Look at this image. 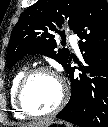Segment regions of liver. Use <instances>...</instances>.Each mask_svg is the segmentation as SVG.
I'll return each instance as SVG.
<instances>
[{"mask_svg":"<svg viewBox=\"0 0 108 127\" xmlns=\"http://www.w3.org/2000/svg\"><path fill=\"white\" fill-rule=\"evenodd\" d=\"M52 121H53L52 119H44V120H39V121L28 123V124H23L20 127H44Z\"/></svg>","mask_w":108,"mask_h":127,"instance_id":"1","label":"liver"}]
</instances>
